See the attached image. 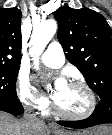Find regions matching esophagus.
I'll list each match as a JSON object with an SVG mask.
<instances>
[{
	"label": "esophagus",
	"instance_id": "34e87169",
	"mask_svg": "<svg viewBox=\"0 0 112 135\" xmlns=\"http://www.w3.org/2000/svg\"><path fill=\"white\" fill-rule=\"evenodd\" d=\"M50 127L53 128V129H58L56 125L54 124H50Z\"/></svg>",
	"mask_w": 112,
	"mask_h": 135
}]
</instances>
